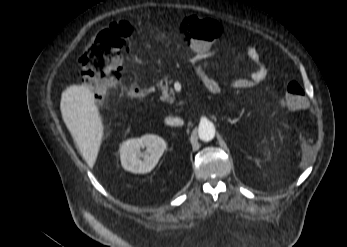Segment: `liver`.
I'll list each match as a JSON object with an SVG mask.
<instances>
[{
  "label": "liver",
  "instance_id": "6515ba94",
  "mask_svg": "<svg viewBox=\"0 0 347 247\" xmlns=\"http://www.w3.org/2000/svg\"><path fill=\"white\" fill-rule=\"evenodd\" d=\"M62 118L89 167H93L104 135L94 93L85 85H70L63 92Z\"/></svg>",
  "mask_w": 347,
  "mask_h": 247
}]
</instances>
